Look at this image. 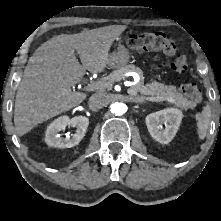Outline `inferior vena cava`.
<instances>
[{
	"label": "inferior vena cava",
	"mask_w": 221,
	"mask_h": 221,
	"mask_svg": "<svg viewBox=\"0 0 221 221\" xmlns=\"http://www.w3.org/2000/svg\"><path fill=\"white\" fill-rule=\"evenodd\" d=\"M109 103V98L105 93L93 94L89 98V106L92 109H99L106 106Z\"/></svg>",
	"instance_id": "1"
}]
</instances>
